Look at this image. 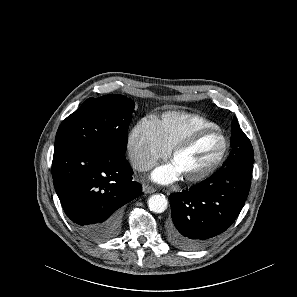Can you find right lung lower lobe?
Listing matches in <instances>:
<instances>
[{
  "mask_svg": "<svg viewBox=\"0 0 297 297\" xmlns=\"http://www.w3.org/2000/svg\"><path fill=\"white\" fill-rule=\"evenodd\" d=\"M132 174L124 154L94 145L54 149L52 177L62 207L77 231L94 241L119 233L122 206L142 190Z\"/></svg>",
  "mask_w": 297,
  "mask_h": 297,
  "instance_id": "98d812e1",
  "label": "right lung lower lobe"
}]
</instances>
